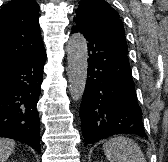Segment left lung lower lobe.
I'll use <instances>...</instances> for the list:
<instances>
[{
	"mask_svg": "<svg viewBox=\"0 0 168 162\" xmlns=\"http://www.w3.org/2000/svg\"><path fill=\"white\" fill-rule=\"evenodd\" d=\"M72 32H80L88 41V77L80 106L85 145L114 134L147 138L128 50L83 23H75Z\"/></svg>",
	"mask_w": 168,
	"mask_h": 162,
	"instance_id": "obj_1",
	"label": "left lung lower lobe"
}]
</instances>
